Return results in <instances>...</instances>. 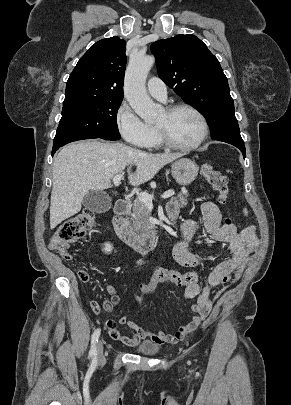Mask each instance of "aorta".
<instances>
[{
	"mask_svg": "<svg viewBox=\"0 0 291 405\" xmlns=\"http://www.w3.org/2000/svg\"><path fill=\"white\" fill-rule=\"evenodd\" d=\"M155 62L149 55L133 54L125 73L124 95L128 103L145 122L150 123L159 115L160 107L148 96L145 82Z\"/></svg>",
	"mask_w": 291,
	"mask_h": 405,
	"instance_id": "obj_1",
	"label": "aorta"
}]
</instances>
